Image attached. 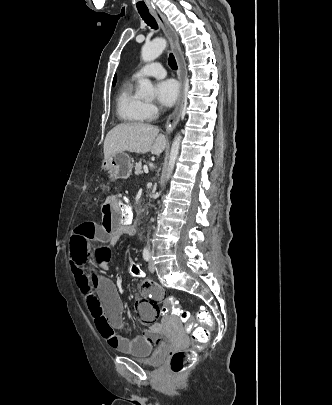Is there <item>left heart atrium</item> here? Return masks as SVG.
<instances>
[{
	"label": "left heart atrium",
	"mask_w": 332,
	"mask_h": 405,
	"mask_svg": "<svg viewBox=\"0 0 332 405\" xmlns=\"http://www.w3.org/2000/svg\"><path fill=\"white\" fill-rule=\"evenodd\" d=\"M179 93V85L173 79L160 81L156 85L157 100L165 107L172 106L178 99Z\"/></svg>",
	"instance_id": "left-heart-atrium-1"
}]
</instances>
